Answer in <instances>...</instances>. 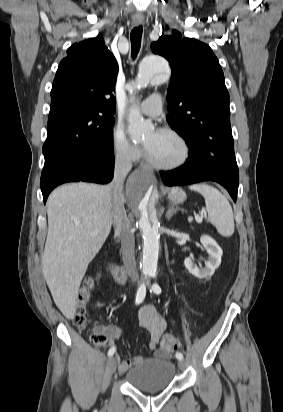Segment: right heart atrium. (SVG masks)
Wrapping results in <instances>:
<instances>
[{"mask_svg":"<svg viewBox=\"0 0 283 412\" xmlns=\"http://www.w3.org/2000/svg\"><path fill=\"white\" fill-rule=\"evenodd\" d=\"M111 147L115 157L125 163H134L142 156V148L133 143L120 126L112 129Z\"/></svg>","mask_w":283,"mask_h":412,"instance_id":"right-heart-atrium-1","label":"right heart atrium"}]
</instances>
